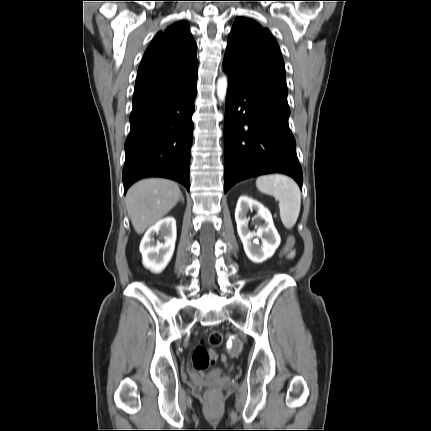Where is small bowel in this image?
<instances>
[{
  "instance_id": "obj_1",
  "label": "small bowel",
  "mask_w": 431,
  "mask_h": 431,
  "mask_svg": "<svg viewBox=\"0 0 431 431\" xmlns=\"http://www.w3.org/2000/svg\"><path fill=\"white\" fill-rule=\"evenodd\" d=\"M287 254L288 255H285V260H290V258H292L296 254V251L293 248H290L287 251Z\"/></svg>"
}]
</instances>
